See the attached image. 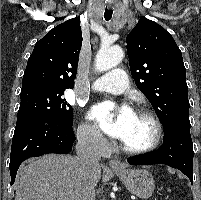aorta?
I'll return each mask as SVG.
<instances>
[{
	"label": "aorta",
	"mask_w": 201,
	"mask_h": 200,
	"mask_svg": "<svg viewBox=\"0 0 201 200\" xmlns=\"http://www.w3.org/2000/svg\"><path fill=\"white\" fill-rule=\"evenodd\" d=\"M124 52L119 46L103 45L95 58L98 71H107L116 67L123 59Z\"/></svg>",
	"instance_id": "obj_1"
}]
</instances>
